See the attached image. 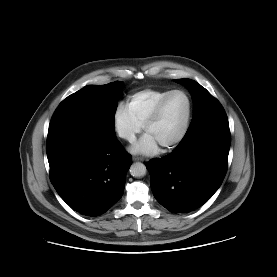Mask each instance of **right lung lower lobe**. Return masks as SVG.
<instances>
[{
  "label": "right lung lower lobe",
  "instance_id": "right-lung-lower-lobe-1",
  "mask_svg": "<svg viewBox=\"0 0 277 277\" xmlns=\"http://www.w3.org/2000/svg\"><path fill=\"white\" fill-rule=\"evenodd\" d=\"M46 151L51 182L75 211L99 216L122 197L132 158L114 132L79 114L54 113Z\"/></svg>",
  "mask_w": 277,
  "mask_h": 277
}]
</instances>
